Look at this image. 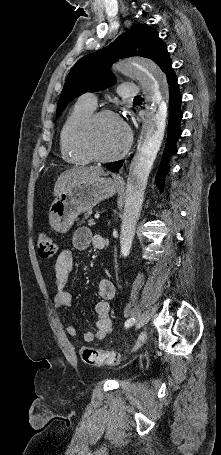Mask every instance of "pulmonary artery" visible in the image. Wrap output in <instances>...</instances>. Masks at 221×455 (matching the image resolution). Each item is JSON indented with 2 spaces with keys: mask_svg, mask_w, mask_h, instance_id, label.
<instances>
[{
  "mask_svg": "<svg viewBox=\"0 0 221 455\" xmlns=\"http://www.w3.org/2000/svg\"><path fill=\"white\" fill-rule=\"evenodd\" d=\"M140 88L132 83H123L118 88V93L122 97L138 96ZM80 100L92 107L96 106L97 97L94 93L88 92L80 97Z\"/></svg>",
  "mask_w": 221,
  "mask_h": 455,
  "instance_id": "obj_1",
  "label": "pulmonary artery"
}]
</instances>
